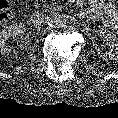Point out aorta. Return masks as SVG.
<instances>
[{"instance_id": "obj_1", "label": "aorta", "mask_w": 118, "mask_h": 118, "mask_svg": "<svg viewBox=\"0 0 118 118\" xmlns=\"http://www.w3.org/2000/svg\"><path fill=\"white\" fill-rule=\"evenodd\" d=\"M65 21V18L60 14H51L47 16L46 22L51 27L61 26Z\"/></svg>"}]
</instances>
